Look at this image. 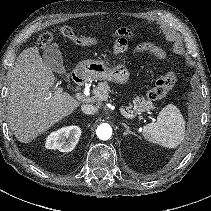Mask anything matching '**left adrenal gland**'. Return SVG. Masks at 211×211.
Instances as JSON below:
<instances>
[{
    "instance_id": "obj_1",
    "label": "left adrenal gland",
    "mask_w": 211,
    "mask_h": 211,
    "mask_svg": "<svg viewBox=\"0 0 211 211\" xmlns=\"http://www.w3.org/2000/svg\"><path fill=\"white\" fill-rule=\"evenodd\" d=\"M122 125L126 128V131L123 133L124 135L132 134L134 136H137L134 132L130 130V128L125 123H122Z\"/></svg>"
}]
</instances>
